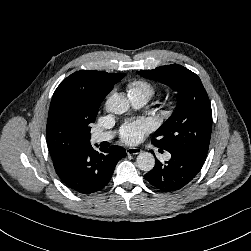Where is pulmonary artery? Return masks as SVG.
<instances>
[{"instance_id": "pulmonary-artery-1", "label": "pulmonary artery", "mask_w": 251, "mask_h": 251, "mask_svg": "<svg viewBox=\"0 0 251 251\" xmlns=\"http://www.w3.org/2000/svg\"><path fill=\"white\" fill-rule=\"evenodd\" d=\"M129 99H130L132 105L134 107L138 108V107L145 105L148 102L149 97L145 94H129ZM113 137H114L113 132H100V133H95L92 136V140L95 143H100V142H104V141H109ZM167 158H169V155H167Z\"/></svg>"}]
</instances>
